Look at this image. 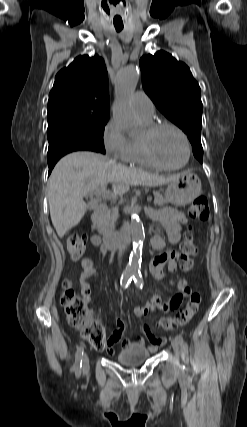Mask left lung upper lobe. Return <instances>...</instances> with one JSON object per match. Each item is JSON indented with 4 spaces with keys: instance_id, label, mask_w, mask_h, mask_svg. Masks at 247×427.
<instances>
[{
    "instance_id": "1",
    "label": "left lung upper lobe",
    "mask_w": 247,
    "mask_h": 427,
    "mask_svg": "<svg viewBox=\"0 0 247 427\" xmlns=\"http://www.w3.org/2000/svg\"><path fill=\"white\" fill-rule=\"evenodd\" d=\"M145 92L156 107L188 136L194 156L202 163L201 90L190 69L172 55L158 51L140 59Z\"/></svg>"
}]
</instances>
